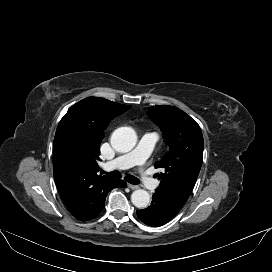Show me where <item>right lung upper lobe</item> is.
I'll use <instances>...</instances> for the list:
<instances>
[{
    "mask_svg": "<svg viewBox=\"0 0 272 272\" xmlns=\"http://www.w3.org/2000/svg\"><path fill=\"white\" fill-rule=\"evenodd\" d=\"M130 107L87 97L73 105L59 122L53 149L54 179L64 203L80 221L92 219L113 188L114 179L97 174L96 160L104 130Z\"/></svg>",
    "mask_w": 272,
    "mask_h": 272,
    "instance_id": "obj_1",
    "label": "right lung upper lobe"
}]
</instances>
